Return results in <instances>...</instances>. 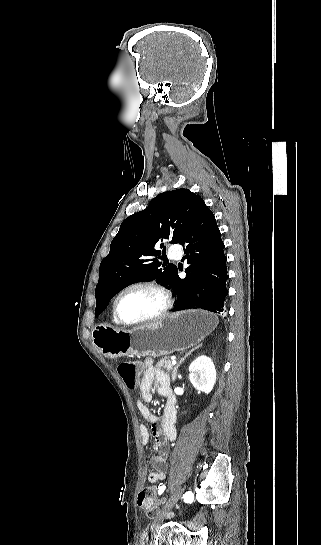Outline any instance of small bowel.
Masks as SVG:
<instances>
[{"mask_svg": "<svg viewBox=\"0 0 321 545\" xmlns=\"http://www.w3.org/2000/svg\"><path fill=\"white\" fill-rule=\"evenodd\" d=\"M153 385H156L157 393L167 399L161 418L154 415L147 406L152 401ZM139 388L141 399L137 402V406L143 418L151 425L150 430L141 425L139 432L144 445L149 442L150 434L154 438L153 447L157 455L152 457L151 463L155 470L149 474L148 480L150 483H156L166 477L170 458L169 442L177 437L175 397L170 387L169 377L161 369L153 366L151 359L143 362V376Z\"/></svg>", "mask_w": 321, "mask_h": 545, "instance_id": "1", "label": "small bowel"}]
</instances>
